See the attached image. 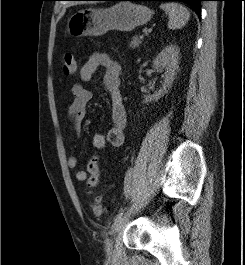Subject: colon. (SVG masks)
I'll return each mask as SVG.
<instances>
[{"instance_id": "5ec220e1", "label": "colon", "mask_w": 245, "mask_h": 265, "mask_svg": "<svg viewBox=\"0 0 245 265\" xmlns=\"http://www.w3.org/2000/svg\"><path fill=\"white\" fill-rule=\"evenodd\" d=\"M63 68L66 74H74L77 71V62L75 57L72 53L66 52L61 57ZM87 172H88V185L91 188H95L99 184L100 173H99V166L98 160L95 156H92L87 165ZM92 210L95 215L99 216L105 213V208L101 204L99 198H96L94 204L92 205Z\"/></svg>"}]
</instances>
